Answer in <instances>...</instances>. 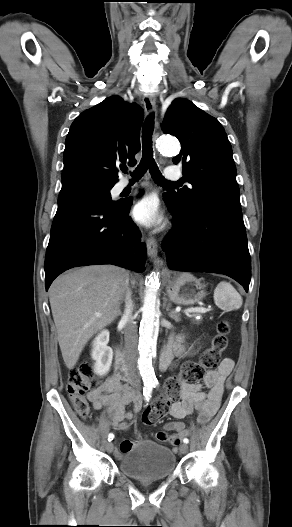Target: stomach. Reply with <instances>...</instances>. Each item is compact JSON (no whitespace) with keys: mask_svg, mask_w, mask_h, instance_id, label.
Masks as SVG:
<instances>
[{"mask_svg":"<svg viewBox=\"0 0 292 527\" xmlns=\"http://www.w3.org/2000/svg\"><path fill=\"white\" fill-rule=\"evenodd\" d=\"M166 281L169 298L176 304H194L206 295L201 280L190 273H171L167 275Z\"/></svg>","mask_w":292,"mask_h":527,"instance_id":"0dacf381","label":"stomach"}]
</instances>
